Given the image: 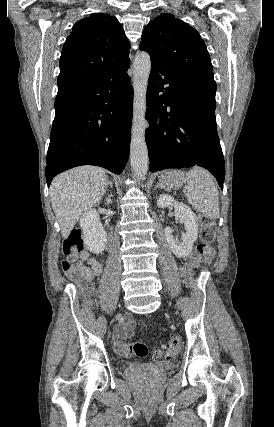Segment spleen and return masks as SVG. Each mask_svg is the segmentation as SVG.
Masks as SVG:
<instances>
[{"instance_id":"1","label":"spleen","mask_w":274,"mask_h":427,"mask_svg":"<svg viewBox=\"0 0 274 427\" xmlns=\"http://www.w3.org/2000/svg\"><path fill=\"white\" fill-rule=\"evenodd\" d=\"M186 198L202 215H207L210 219L219 217V198L216 182L206 170L194 166L187 172Z\"/></svg>"}]
</instances>
